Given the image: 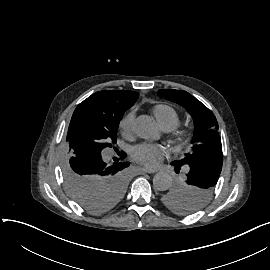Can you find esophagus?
I'll use <instances>...</instances> for the list:
<instances>
[{
  "label": "esophagus",
  "instance_id": "obj_1",
  "mask_svg": "<svg viewBox=\"0 0 270 270\" xmlns=\"http://www.w3.org/2000/svg\"><path fill=\"white\" fill-rule=\"evenodd\" d=\"M157 171V168H147V167H143L139 170L140 174L143 173H155Z\"/></svg>",
  "mask_w": 270,
  "mask_h": 270
}]
</instances>
